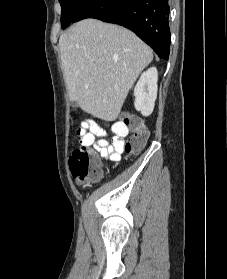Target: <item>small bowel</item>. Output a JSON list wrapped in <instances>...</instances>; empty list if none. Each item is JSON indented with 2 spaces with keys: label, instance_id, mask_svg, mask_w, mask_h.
Listing matches in <instances>:
<instances>
[{
  "label": "small bowel",
  "instance_id": "1",
  "mask_svg": "<svg viewBox=\"0 0 227 279\" xmlns=\"http://www.w3.org/2000/svg\"><path fill=\"white\" fill-rule=\"evenodd\" d=\"M84 129L89 130V134L93 138L91 146L101 157L115 163L121 160L122 155L126 152L125 137L128 134V129L121 122H115L111 126L113 133L111 143H108L105 139L108 133L100 121L94 119L88 120ZM76 181L80 183L78 178H76Z\"/></svg>",
  "mask_w": 227,
  "mask_h": 279
}]
</instances>
